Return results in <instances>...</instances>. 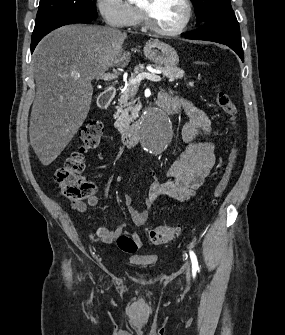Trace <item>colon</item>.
I'll return each instance as SVG.
<instances>
[{
	"label": "colon",
	"instance_id": "1",
	"mask_svg": "<svg viewBox=\"0 0 285 335\" xmlns=\"http://www.w3.org/2000/svg\"><path fill=\"white\" fill-rule=\"evenodd\" d=\"M216 103L219 108L229 117L232 123L235 122L237 107L229 94L218 92ZM103 134V125L99 121H90L81 127L79 139L81 145L73 152L55 173V181L61 192L73 201H82L90 197L96 186L93 182L86 180L81 174L85 168L84 154L86 151L96 148ZM238 158V146H232L224 172L217 183L214 191V202L216 203L226 191L236 161ZM179 234V228L172 225H161L149 230L148 238L155 245L166 244L175 239ZM118 247L126 253H135L139 247L132 235L121 234L117 238Z\"/></svg>",
	"mask_w": 285,
	"mask_h": 335
}]
</instances>
